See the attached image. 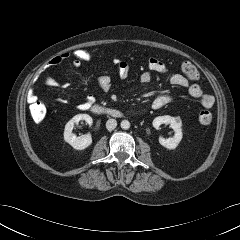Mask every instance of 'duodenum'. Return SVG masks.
Instances as JSON below:
<instances>
[{"label": "duodenum", "mask_w": 240, "mask_h": 240, "mask_svg": "<svg viewBox=\"0 0 240 240\" xmlns=\"http://www.w3.org/2000/svg\"><path fill=\"white\" fill-rule=\"evenodd\" d=\"M91 109L94 113H107V114H110L112 116H119L120 115L119 111L113 110V109H106V108H104L100 105H94Z\"/></svg>", "instance_id": "410a0bca"}]
</instances>
